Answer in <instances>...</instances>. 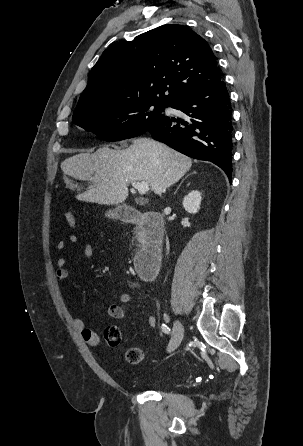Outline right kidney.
I'll return each mask as SVG.
<instances>
[{"label":"right kidney","mask_w":303,"mask_h":446,"mask_svg":"<svg viewBox=\"0 0 303 446\" xmlns=\"http://www.w3.org/2000/svg\"><path fill=\"white\" fill-rule=\"evenodd\" d=\"M201 193L197 190L191 191L184 197L183 207L188 213L195 214L200 209Z\"/></svg>","instance_id":"1"}]
</instances>
